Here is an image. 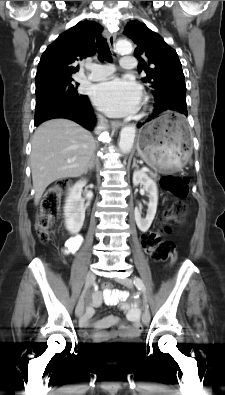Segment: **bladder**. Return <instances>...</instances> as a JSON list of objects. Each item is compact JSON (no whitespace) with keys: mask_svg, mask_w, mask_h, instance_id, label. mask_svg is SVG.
Segmentation results:
<instances>
[{"mask_svg":"<svg viewBox=\"0 0 225 395\" xmlns=\"http://www.w3.org/2000/svg\"><path fill=\"white\" fill-rule=\"evenodd\" d=\"M142 347V341L140 338H136L130 341H125L119 344V354L121 356H130L138 352Z\"/></svg>","mask_w":225,"mask_h":395,"instance_id":"obj_1","label":"bladder"}]
</instances>
